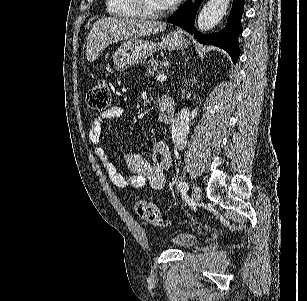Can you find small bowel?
<instances>
[{"label":"small bowel","mask_w":307,"mask_h":301,"mask_svg":"<svg viewBox=\"0 0 307 301\" xmlns=\"http://www.w3.org/2000/svg\"><path fill=\"white\" fill-rule=\"evenodd\" d=\"M123 108L113 106L97 116L91 122L88 131V140L92 144H98L101 139L105 121L121 117ZM95 154L104 169L106 170L112 183L118 188H141L148 184L154 190H161L166 184L165 172L171 166V155L166 144L159 143L153 150V164L147 162L141 155L129 153L125 156V162L129 171L120 173L116 166L108 158L103 147L98 146Z\"/></svg>","instance_id":"1"}]
</instances>
